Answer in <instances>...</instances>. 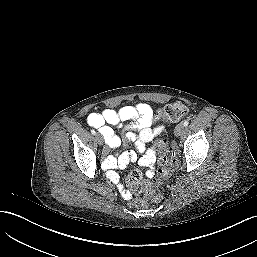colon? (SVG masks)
<instances>
[{"mask_svg": "<svg viewBox=\"0 0 257 257\" xmlns=\"http://www.w3.org/2000/svg\"><path fill=\"white\" fill-rule=\"evenodd\" d=\"M160 115L168 122L176 123L188 115V108L179 102L170 103L160 110ZM157 148L160 152L159 164L162 166L159 171V177L161 179L168 175L170 167L176 162V156L174 150L168 145L166 139H161L157 143ZM127 182L135 193L141 195L135 200L137 206H146L151 202L160 200L164 192V188L160 185V181L153 185L152 183L145 181L139 171L131 172Z\"/></svg>", "mask_w": 257, "mask_h": 257, "instance_id": "obj_1", "label": "colon"}]
</instances>
